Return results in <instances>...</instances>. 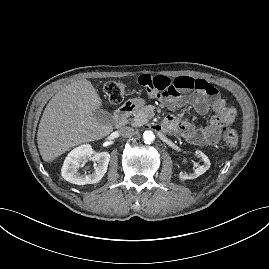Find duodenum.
<instances>
[{
  "label": "duodenum",
  "instance_id": "1",
  "mask_svg": "<svg viewBox=\"0 0 269 269\" xmlns=\"http://www.w3.org/2000/svg\"><path fill=\"white\" fill-rule=\"evenodd\" d=\"M136 109V104L134 102H125L115 111V125L116 127H122L125 125L128 117ZM164 129H167L166 126H163Z\"/></svg>",
  "mask_w": 269,
  "mask_h": 269
}]
</instances>
